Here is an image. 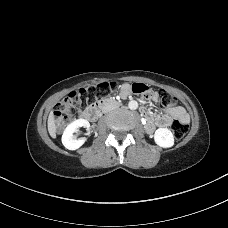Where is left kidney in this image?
I'll return each mask as SVG.
<instances>
[{"label":"left kidney","mask_w":228,"mask_h":228,"mask_svg":"<svg viewBox=\"0 0 228 228\" xmlns=\"http://www.w3.org/2000/svg\"><path fill=\"white\" fill-rule=\"evenodd\" d=\"M155 143L163 148H169L174 145L173 133L167 128H159L154 134Z\"/></svg>","instance_id":"left-kidney-1"}]
</instances>
